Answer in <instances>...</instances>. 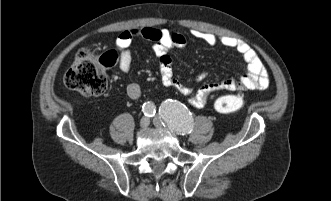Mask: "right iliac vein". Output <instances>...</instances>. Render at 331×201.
Masks as SVG:
<instances>
[{"instance_id":"obj_1","label":"right iliac vein","mask_w":331,"mask_h":201,"mask_svg":"<svg viewBox=\"0 0 331 201\" xmlns=\"http://www.w3.org/2000/svg\"><path fill=\"white\" fill-rule=\"evenodd\" d=\"M150 123V119L148 117H143L141 120H140V126L145 128L149 125Z\"/></svg>"}]
</instances>
